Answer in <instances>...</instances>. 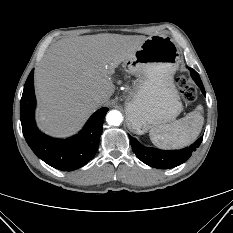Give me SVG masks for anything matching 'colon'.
Here are the masks:
<instances>
[{"label": "colon", "mask_w": 233, "mask_h": 233, "mask_svg": "<svg viewBox=\"0 0 233 233\" xmlns=\"http://www.w3.org/2000/svg\"><path fill=\"white\" fill-rule=\"evenodd\" d=\"M177 86L179 88L181 97L186 104L194 102L196 99V91L189 84L188 79L184 75H179L176 79Z\"/></svg>", "instance_id": "obj_1"}]
</instances>
